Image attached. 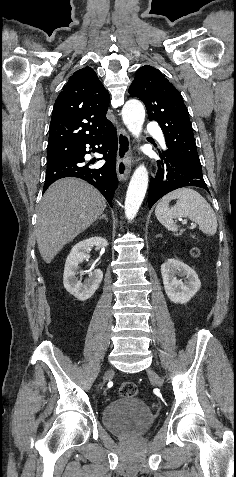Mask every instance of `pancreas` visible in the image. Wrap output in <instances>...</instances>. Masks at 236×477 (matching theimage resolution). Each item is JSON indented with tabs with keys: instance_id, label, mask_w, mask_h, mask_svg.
Listing matches in <instances>:
<instances>
[{
	"instance_id": "pancreas-1",
	"label": "pancreas",
	"mask_w": 236,
	"mask_h": 477,
	"mask_svg": "<svg viewBox=\"0 0 236 477\" xmlns=\"http://www.w3.org/2000/svg\"><path fill=\"white\" fill-rule=\"evenodd\" d=\"M183 230H181L179 233L176 234V236L181 235Z\"/></svg>"
}]
</instances>
